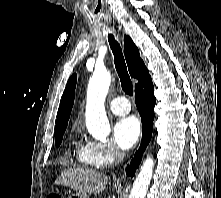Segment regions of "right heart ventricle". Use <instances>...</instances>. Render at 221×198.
<instances>
[{"label": "right heart ventricle", "instance_id": "e07e8e85", "mask_svg": "<svg viewBox=\"0 0 221 198\" xmlns=\"http://www.w3.org/2000/svg\"><path fill=\"white\" fill-rule=\"evenodd\" d=\"M75 155L80 164L86 167L96 166L92 160L89 143L82 144L81 142H76L75 144Z\"/></svg>", "mask_w": 221, "mask_h": 198}]
</instances>
